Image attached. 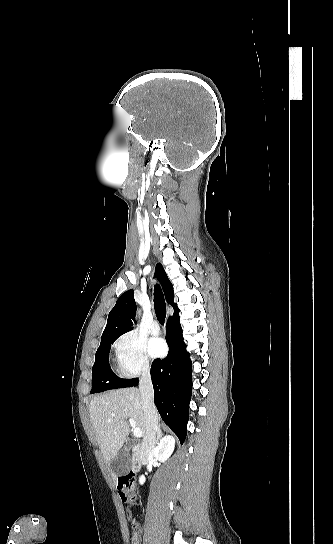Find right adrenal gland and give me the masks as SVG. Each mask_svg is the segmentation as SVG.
I'll return each instance as SVG.
<instances>
[{
	"instance_id": "2a0ac1e0",
	"label": "right adrenal gland",
	"mask_w": 333,
	"mask_h": 544,
	"mask_svg": "<svg viewBox=\"0 0 333 544\" xmlns=\"http://www.w3.org/2000/svg\"><path fill=\"white\" fill-rule=\"evenodd\" d=\"M163 436V433H162V430H161V425L158 426V430H157V437H156V444L158 443V441L161 439V437Z\"/></svg>"
}]
</instances>
